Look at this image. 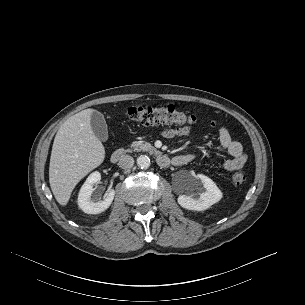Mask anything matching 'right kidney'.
Listing matches in <instances>:
<instances>
[{
  "label": "right kidney",
  "instance_id": "obj_1",
  "mask_svg": "<svg viewBox=\"0 0 305 305\" xmlns=\"http://www.w3.org/2000/svg\"><path fill=\"white\" fill-rule=\"evenodd\" d=\"M101 180V175L99 172L95 171L91 173L83 186L80 189L78 195V206L87 214H99L104 212L111 205L115 191L113 189L108 190L102 201H93L91 199L92 193L94 191L93 186L99 183Z\"/></svg>",
  "mask_w": 305,
  "mask_h": 305
}]
</instances>
